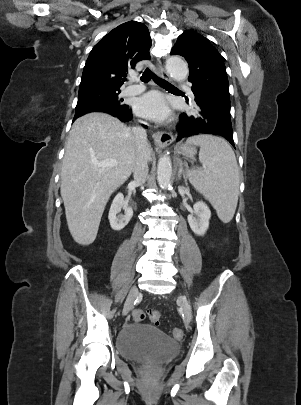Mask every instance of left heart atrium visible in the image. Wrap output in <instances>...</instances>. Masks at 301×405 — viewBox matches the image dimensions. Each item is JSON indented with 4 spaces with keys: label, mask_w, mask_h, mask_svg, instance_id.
<instances>
[{
    "label": "left heart atrium",
    "mask_w": 301,
    "mask_h": 405,
    "mask_svg": "<svg viewBox=\"0 0 301 405\" xmlns=\"http://www.w3.org/2000/svg\"><path fill=\"white\" fill-rule=\"evenodd\" d=\"M134 109L139 116L154 121H164L171 114L166 98L155 91L146 93L138 98Z\"/></svg>",
    "instance_id": "left-heart-atrium-1"
}]
</instances>
